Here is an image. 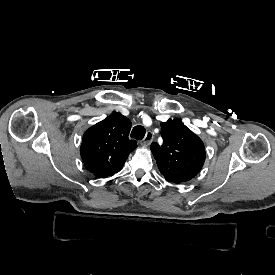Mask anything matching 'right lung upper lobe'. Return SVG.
<instances>
[{
  "label": "right lung upper lobe",
  "instance_id": "obj_1",
  "mask_svg": "<svg viewBox=\"0 0 275 275\" xmlns=\"http://www.w3.org/2000/svg\"><path fill=\"white\" fill-rule=\"evenodd\" d=\"M130 129V120L117 112L90 127L80 148L86 168L102 178L119 172L137 147V142L128 137Z\"/></svg>",
  "mask_w": 275,
  "mask_h": 275
}]
</instances>
